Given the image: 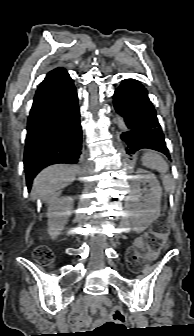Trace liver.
<instances>
[{
	"label": "liver",
	"mask_w": 194,
	"mask_h": 336,
	"mask_svg": "<svg viewBox=\"0 0 194 336\" xmlns=\"http://www.w3.org/2000/svg\"><path fill=\"white\" fill-rule=\"evenodd\" d=\"M78 168L65 164H56L42 170L33 181V198L44 201L52 199L55 192L65 188L76 179Z\"/></svg>",
	"instance_id": "1"
}]
</instances>
